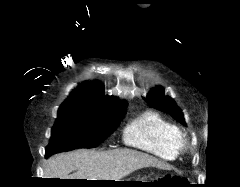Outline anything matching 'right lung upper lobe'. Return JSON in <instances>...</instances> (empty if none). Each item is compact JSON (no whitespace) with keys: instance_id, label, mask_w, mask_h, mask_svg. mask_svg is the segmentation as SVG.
I'll return each mask as SVG.
<instances>
[{"instance_id":"right-lung-upper-lobe-1","label":"right lung upper lobe","mask_w":240,"mask_h":187,"mask_svg":"<svg viewBox=\"0 0 240 187\" xmlns=\"http://www.w3.org/2000/svg\"><path fill=\"white\" fill-rule=\"evenodd\" d=\"M124 104V101L105 96L99 83L87 82L78 86L59 109L110 113L126 109Z\"/></svg>"}]
</instances>
